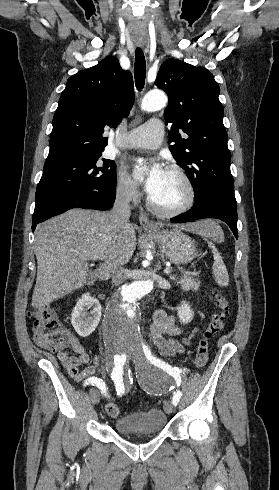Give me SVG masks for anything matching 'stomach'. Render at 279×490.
Instances as JSON below:
<instances>
[{"instance_id":"1","label":"stomach","mask_w":279,"mask_h":490,"mask_svg":"<svg viewBox=\"0 0 279 490\" xmlns=\"http://www.w3.org/2000/svg\"><path fill=\"white\" fill-rule=\"evenodd\" d=\"M160 232H152L148 236L156 238L159 248L170 260L172 264H190L196 258L197 250L191 238L183 234L181 228H173V230H161L163 224H159Z\"/></svg>"}]
</instances>
